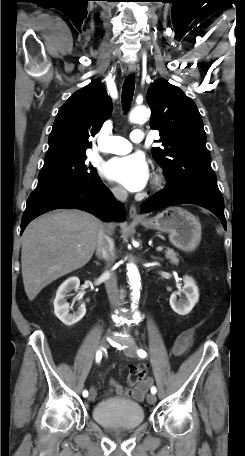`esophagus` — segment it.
Returning a JSON list of instances; mask_svg holds the SVG:
<instances>
[{
  "label": "esophagus",
  "mask_w": 245,
  "mask_h": 456,
  "mask_svg": "<svg viewBox=\"0 0 245 456\" xmlns=\"http://www.w3.org/2000/svg\"><path fill=\"white\" fill-rule=\"evenodd\" d=\"M136 71V66L135 65H129L128 66V72L129 73H134ZM129 216L131 219L134 220H142L143 216L140 215L134 205H132L129 209Z\"/></svg>",
  "instance_id": "1"
}]
</instances>
